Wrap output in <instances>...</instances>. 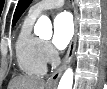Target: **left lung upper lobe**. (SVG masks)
I'll list each match as a JSON object with an SVG mask.
<instances>
[{"label":"left lung upper lobe","instance_id":"1","mask_svg":"<svg viewBox=\"0 0 107 89\" xmlns=\"http://www.w3.org/2000/svg\"><path fill=\"white\" fill-rule=\"evenodd\" d=\"M32 0H19L18 5L15 10V14L13 17L12 26L15 25L18 18L21 16V14L24 12V10L29 6Z\"/></svg>","mask_w":107,"mask_h":89}]
</instances>
